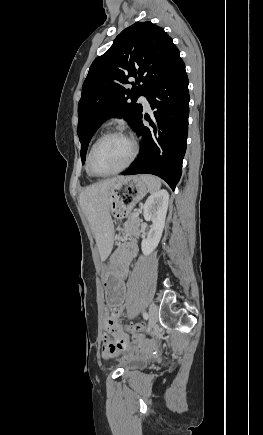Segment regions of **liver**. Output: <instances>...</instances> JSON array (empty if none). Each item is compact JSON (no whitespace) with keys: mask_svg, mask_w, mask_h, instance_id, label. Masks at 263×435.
<instances>
[{"mask_svg":"<svg viewBox=\"0 0 263 435\" xmlns=\"http://www.w3.org/2000/svg\"><path fill=\"white\" fill-rule=\"evenodd\" d=\"M124 177L102 180L85 188L79 197L99 249L101 261L110 255L114 243V225L109 211V190L115 182Z\"/></svg>","mask_w":263,"mask_h":435,"instance_id":"1","label":"liver"}]
</instances>
